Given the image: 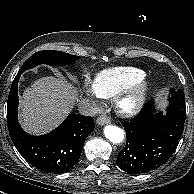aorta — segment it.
Here are the masks:
<instances>
[{"label": "aorta", "mask_w": 194, "mask_h": 194, "mask_svg": "<svg viewBox=\"0 0 194 194\" xmlns=\"http://www.w3.org/2000/svg\"><path fill=\"white\" fill-rule=\"evenodd\" d=\"M124 131L123 129L115 125H107L104 128L105 137L114 144H119L124 140Z\"/></svg>", "instance_id": "762f6f07"}]
</instances>
